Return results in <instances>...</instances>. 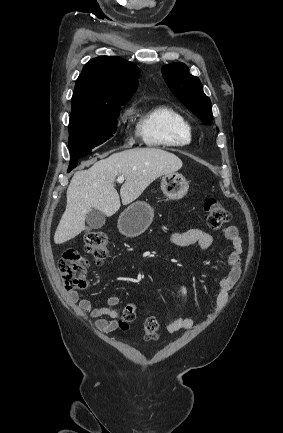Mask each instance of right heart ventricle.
Here are the masks:
<instances>
[{"label":"right heart ventricle","mask_w":283,"mask_h":433,"mask_svg":"<svg viewBox=\"0 0 283 433\" xmlns=\"http://www.w3.org/2000/svg\"><path fill=\"white\" fill-rule=\"evenodd\" d=\"M136 130L153 147H181L191 141L192 126L177 110L158 106L135 116Z\"/></svg>","instance_id":"obj_1"}]
</instances>
